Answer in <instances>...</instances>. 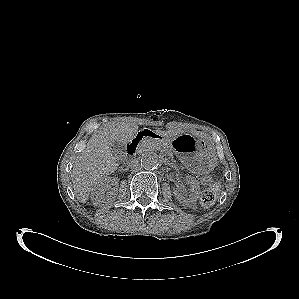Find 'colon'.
<instances>
[{"label": "colon", "mask_w": 299, "mask_h": 299, "mask_svg": "<svg viewBox=\"0 0 299 299\" xmlns=\"http://www.w3.org/2000/svg\"><path fill=\"white\" fill-rule=\"evenodd\" d=\"M201 183L206 186L201 196V203L204 206H210L217 198L218 186L213 183L212 177L208 174L201 178Z\"/></svg>", "instance_id": "5ec220e1"}]
</instances>
